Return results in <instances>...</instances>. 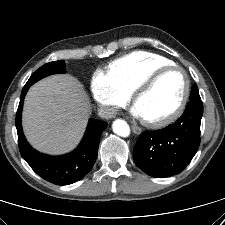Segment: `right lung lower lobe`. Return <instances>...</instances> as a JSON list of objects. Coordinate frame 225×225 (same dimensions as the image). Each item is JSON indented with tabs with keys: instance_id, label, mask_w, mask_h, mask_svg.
<instances>
[{
	"instance_id": "obj_1",
	"label": "right lung lower lobe",
	"mask_w": 225,
	"mask_h": 225,
	"mask_svg": "<svg viewBox=\"0 0 225 225\" xmlns=\"http://www.w3.org/2000/svg\"><path fill=\"white\" fill-rule=\"evenodd\" d=\"M30 86L28 83L24 86L16 114L20 153L30 167L43 179L57 185L74 183L92 169L97 158L101 134L108 123L90 119L82 142L69 154L63 156L41 154L26 141L21 126L23 101Z\"/></svg>"
}]
</instances>
